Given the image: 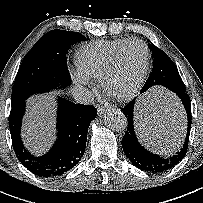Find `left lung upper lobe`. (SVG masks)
Returning <instances> with one entry per match:
<instances>
[{"label":"left lung upper lobe","mask_w":203,"mask_h":203,"mask_svg":"<svg viewBox=\"0 0 203 203\" xmlns=\"http://www.w3.org/2000/svg\"><path fill=\"white\" fill-rule=\"evenodd\" d=\"M149 48L152 51L154 59L153 69L143 89L147 90L154 85H163L172 91L179 88H183V91H186L185 85L173 61L154 44H149Z\"/></svg>","instance_id":"1"}]
</instances>
